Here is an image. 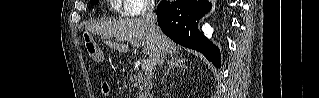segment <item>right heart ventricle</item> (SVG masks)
Instances as JSON below:
<instances>
[{"label":"right heart ventricle","mask_w":319,"mask_h":98,"mask_svg":"<svg viewBox=\"0 0 319 98\" xmlns=\"http://www.w3.org/2000/svg\"><path fill=\"white\" fill-rule=\"evenodd\" d=\"M113 4H114L115 8H117L118 10H121L125 6L124 1H121V0H115V1H113Z\"/></svg>","instance_id":"1"}]
</instances>
